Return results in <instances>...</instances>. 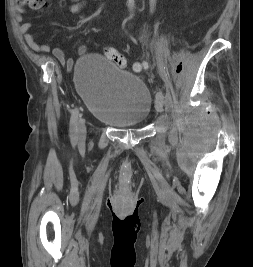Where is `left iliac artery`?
<instances>
[{"mask_svg": "<svg viewBox=\"0 0 253 267\" xmlns=\"http://www.w3.org/2000/svg\"><path fill=\"white\" fill-rule=\"evenodd\" d=\"M155 97H156V100H157V99H161V100H162V102H163V100H164V95H163V93H162V92H160V91H159V92L156 94V96H155Z\"/></svg>", "mask_w": 253, "mask_h": 267, "instance_id": "obj_1", "label": "left iliac artery"}]
</instances>
